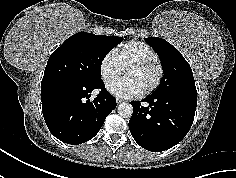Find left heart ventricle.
I'll return each instance as SVG.
<instances>
[{
    "instance_id": "left-heart-ventricle-1",
    "label": "left heart ventricle",
    "mask_w": 236,
    "mask_h": 178,
    "mask_svg": "<svg viewBox=\"0 0 236 178\" xmlns=\"http://www.w3.org/2000/svg\"><path fill=\"white\" fill-rule=\"evenodd\" d=\"M157 70L150 68H131L124 72L125 78L132 79L143 91L149 87L155 80Z\"/></svg>"
}]
</instances>
